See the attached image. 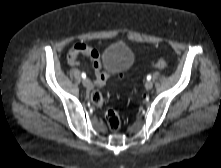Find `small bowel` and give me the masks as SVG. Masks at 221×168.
<instances>
[{
    "label": "small bowel",
    "instance_id": "obj_1",
    "mask_svg": "<svg viewBox=\"0 0 221 168\" xmlns=\"http://www.w3.org/2000/svg\"><path fill=\"white\" fill-rule=\"evenodd\" d=\"M79 55L87 56L92 62V66L94 68L93 84L98 87L105 86L109 77L111 76V72L101 71L102 61L98 51L83 43H78L70 49L67 56L68 63L72 66L79 65Z\"/></svg>",
    "mask_w": 221,
    "mask_h": 168
}]
</instances>
